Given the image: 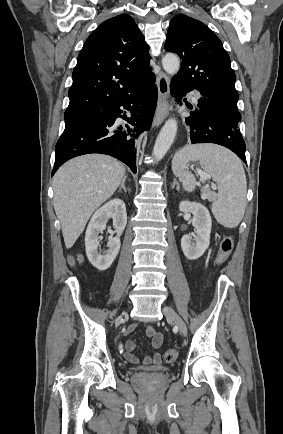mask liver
Masks as SVG:
<instances>
[{
  "label": "liver",
  "instance_id": "6515ba94",
  "mask_svg": "<svg viewBox=\"0 0 283 434\" xmlns=\"http://www.w3.org/2000/svg\"><path fill=\"white\" fill-rule=\"evenodd\" d=\"M124 176V165L103 154L82 155L58 169L53 179V204L67 249L79 238L92 213L114 194Z\"/></svg>",
  "mask_w": 283,
  "mask_h": 434
}]
</instances>
